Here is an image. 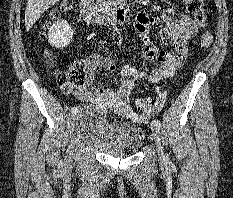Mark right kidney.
<instances>
[{"label":"right kidney","instance_id":"right-kidney-1","mask_svg":"<svg viewBox=\"0 0 233 198\" xmlns=\"http://www.w3.org/2000/svg\"><path fill=\"white\" fill-rule=\"evenodd\" d=\"M73 36V29L68 25L67 21L61 20L50 27L48 41L52 47L63 49L71 43Z\"/></svg>","mask_w":233,"mask_h":198}]
</instances>
